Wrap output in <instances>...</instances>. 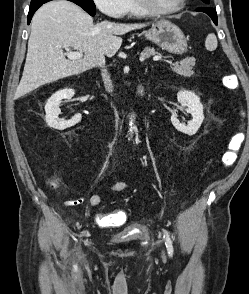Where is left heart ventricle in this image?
Segmentation results:
<instances>
[{
    "mask_svg": "<svg viewBox=\"0 0 249 294\" xmlns=\"http://www.w3.org/2000/svg\"><path fill=\"white\" fill-rule=\"evenodd\" d=\"M152 7L157 10H165L174 7L179 0H149Z\"/></svg>",
    "mask_w": 249,
    "mask_h": 294,
    "instance_id": "1",
    "label": "left heart ventricle"
}]
</instances>
